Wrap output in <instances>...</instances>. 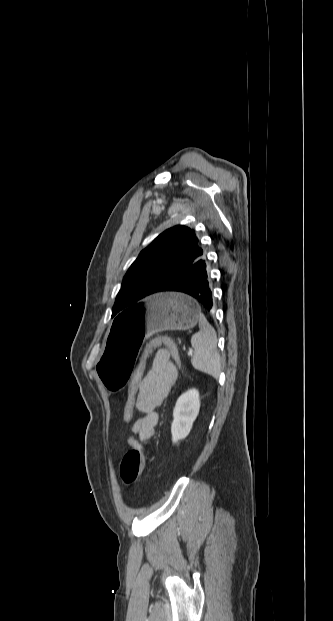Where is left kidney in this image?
Returning a JSON list of instances; mask_svg holds the SVG:
<instances>
[{"instance_id": "left-kidney-1", "label": "left kidney", "mask_w": 333, "mask_h": 621, "mask_svg": "<svg viewBox=\"0 0 333 621\" xmlns=\"http://www.w3.org/2000/svg\"><path fill=\"white\" fill-rule=\"evenodd\" d=\"M200 396L196 389L188 390L177 400L173 410L171 434L173 443L186 438L199 414Z\"/></svg>"}]
</instances>
